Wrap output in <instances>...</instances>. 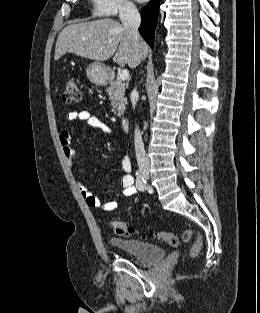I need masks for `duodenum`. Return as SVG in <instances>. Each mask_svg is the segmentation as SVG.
<instances>
[{"label": "duodenum", "mask_w": 260, "mask_h": 313, "mask_svg": "<svg viewBox=\"0 0 260 313\" xmlns=\"http://www.w3.org/2000/svg\"><path fill=\"white\" fill-rule=\"evenodd\" d=\"M121 125H122L124 131L128 130V128H129V120H128L127 117L122 118Z\"/></svg>", "instance_id": "1"}]
</instances>
